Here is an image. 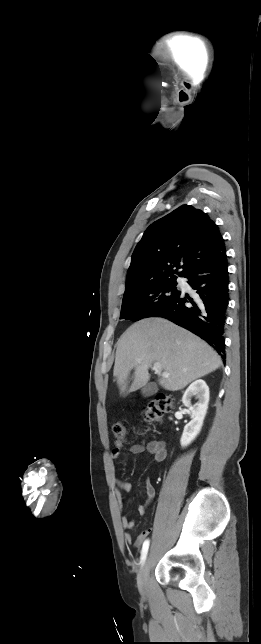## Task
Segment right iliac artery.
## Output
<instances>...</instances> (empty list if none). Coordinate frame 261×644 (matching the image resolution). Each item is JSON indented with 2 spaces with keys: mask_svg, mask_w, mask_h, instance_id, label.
<instances>
[{
  "mask_svg": "<svg viewBox=\"0 0 261 644\" xmlns=\"http://www.w3.org/2000/svg\"><path fill=\"white\" fill-rule=\"evenodd\" d=\"M149 543H150L149 539L145 540L144 543H143L142 551H141V563L142 564L144 563V561L146 559L147 552H148V549H149Z\"/></svg>",
  "mask_w": 261,
  "mask_h": 644,
  "instance_id": "obj_1",
  "label": "right iliac artery"
}]
</instances>
